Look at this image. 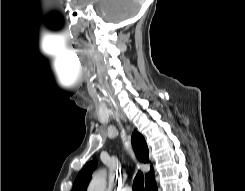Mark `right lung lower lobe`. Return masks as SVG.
I'll list each match as a JSON object with an SVG mask.
<instances>
[{
	"label": "right lung lower lobe",
	"mask_w": 245,
	"mask_h": 191,
	"mask_svg": "<svg viewBox=\"0 0 245 191\" xmlns=\"http://www.w3.org/2000/svg\"><path fill=\"white\" fill-rule=\"evenodd\" d=\"M145 190H146V191H158V188H157V184H156L155 178L149 180V181L146 183Z\"/></svg>",
	"instance_id": "1"
}]
</instances>
